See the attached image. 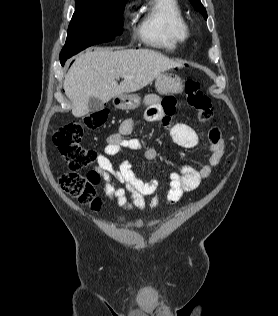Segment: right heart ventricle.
<instances>
[{
  "instance_id": "right-heart-ventricle-1",
  "label": "right heart ventricle",
  "mask_w": 278,
  "mask_h": 316,
  "mask_svg": "<svg viewBox=\"0 0 278 316\" xmlns=\"http://www.w3.org/2000/svg\"><path fill=\"white\" fill-rule=\"evenodd\" d=\"M137 34L149 47L177 51L190 39V28L178 0H147L139 11Z\"/></svg>"
}]
</instances>
